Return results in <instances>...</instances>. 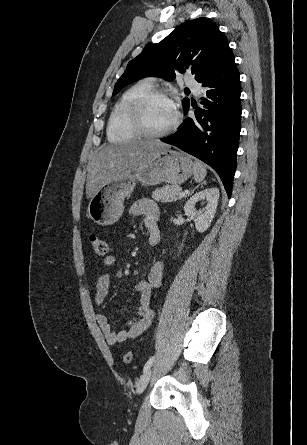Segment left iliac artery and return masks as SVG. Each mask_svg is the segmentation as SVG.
I'll use <instances>...</instances> for the list:
<instances>
[{
  "instance_id": "left-iliac-artery-1",
  "label": "left iliac artery",
  "mask_w": 307,
  "mask_h": 445,
  "mask_svg": "<svg viewBox=\"0 0 307 445\" xmlns=\"http://www.w3.org/2000/svg\"><path fill=\"white\" fill-rule=\"evenodd\" d=\"M154 362V356L150 357L149 360L145 363L143 371H147Z\"/></svg>"
}]
</instances>
